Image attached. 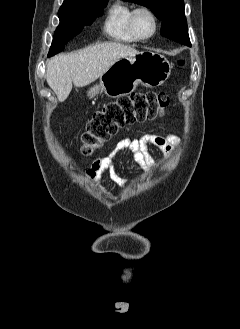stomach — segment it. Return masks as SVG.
<instances>
[{
  "instance_id": "stomach-1",
  "label": "stomach",
  "mask_w": 240,
  "mask_h": 329,
  "mask_svg": "<svg viewBox=\"0 0 240 329\" xmlns=\"http://www.w3.org/2000/svg\"><path fill=\"white\" fill-rule=\"evenodd\" d=\"M172 64L164 55L153 51H142L135 56L118 59L102 76L99 84L88 91L90 98L104 92L118 98L132 93L138 84L154 88L169 77Z\"/></svg>"
}]
</instances>
